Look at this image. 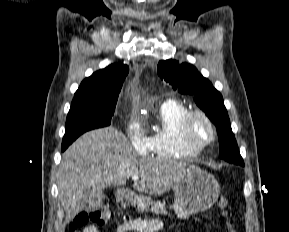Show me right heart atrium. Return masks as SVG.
Wrapping results in <instances>:
<instances>
[{
	"instance_id": "obj_1",
	"label": "right heart atrium",
	"mask_w": 289,
	"mask_h": 232,
	"mask_svg": "<svg viewBox=\"0 0 289 232\" xmlns=\"http://www.w3.org/2000/svg\"><path fill=\"white\" fill-rule=\"evenodd\" d=\"M126 134L132 148L139 154H145L149 150V141L145 136L141 123L137 119H131L126 128Z\"/></svg>"
}]
</instances>
